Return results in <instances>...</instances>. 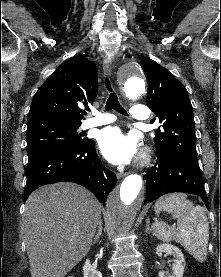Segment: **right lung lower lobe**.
<instances>
[{
  "label": "right lung lower lobe",
  "mask_w": 221,
  "mask_h": 277,
  "mask_svg": "<svg viewBox=\"0 0 221 277\" xmlns=\"http://www.w3.org/2000/svg\"><path fill=\"white\" fill-rule=\"evenodd\" d=\"M56 182L82 185L103 203L116 184V175L102 165L95 142L86 139L68 150L45 154L28 162L24 202L36 188Z\"/></svg>",
  "instance_id": "98d812e1"
}]
</instances>
